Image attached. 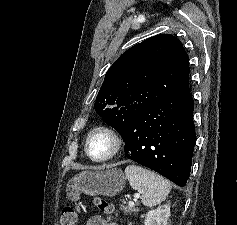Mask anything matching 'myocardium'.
I'll list each match as a JSON object with an SVG mask.
<instances>
[{
    "mask_svg": "<svg viewBox=\"0 0 237 225\" xmlns=\"http://www.w3.org/2000/svg\"><path fill=\"white\" fill-rule=\"evenodd\" d=\"M98 135H103L109 139L110 149L105 155L95 157L91 154L90 144L92 139ZM122 145V139L115 129L108 126H98L92 129L87 135L85 140V152L87 156L95 162H107L113 159L121 151Z\"/></svg>",
    "mask_w": 237,
    "mask_h": 225,
    "instance_id": "myocardium-1",
    "label": "myocardium"
}]
</instances>
